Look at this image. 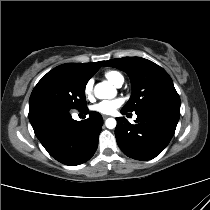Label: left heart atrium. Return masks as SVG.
<instances>
[{"instance_id": "obj_1", "label": "left heart atrium", "mask_w": 210, "mask_h": 210, "mask_svg": "<svg viewBox=\"0 0 210 210\" xmlns=\"http://www.w3.org/2000/svg\"><path fill=\"white\" fill-rule=\"evenodd\" d=\"M121 104L122 101L120 99L103 100L92 105L91 110L99 114L111 115L121 106Z\"/></svg>"}]
</instances>
